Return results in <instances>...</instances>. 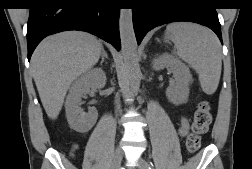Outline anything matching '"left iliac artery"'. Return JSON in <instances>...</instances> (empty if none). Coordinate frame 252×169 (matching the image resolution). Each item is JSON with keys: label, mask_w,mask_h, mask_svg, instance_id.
I'll return each instance as SVG.
<instances>
[{"label": "left iliac artery", "mask_w": 252, "mask_h": 169, "mask_svg": "<svg viewBox=\"0 0 252 169\" xmlns=\"http://www.w3.org/2000/svg\"><path fill=\"white\" fill-rule=\"evenodd\" d=\"M147 164H148V169H152V167H153V164H152V162H147Z\"/></svg>", "instance_id": "obj_1"}]
</instances>
